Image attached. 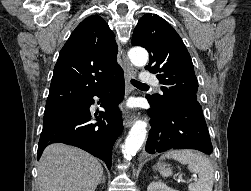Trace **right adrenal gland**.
Here are the masks:
<instances>
[{"instance_id": "obj_1", "label": "right adrenal gland", "mask_w": 251, "mask_h": 191, "mask_svg": "<svg viewBox=\"0 0 251 191\" xmlns=\"http://www.w3.org/2000/svg\"><path fill=\"white\" fill-rule=\"evenodd\" d=\"M99 183H105V175H104V173H103L102 179H100Z\"/></svg>"}]
</instances>
